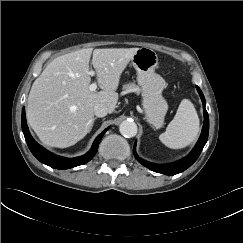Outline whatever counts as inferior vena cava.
Instances as JSON below:
<instances>
[{
    "instance_id": "1",
    "label": "inferior vena cava",
    "mask_w": 243,
    "mask_h": 243,
    "mask_svg": "<svg viewBox=\"0 0 243 243\" xmlns=\"http://www.w3.org/2000/svg\"><path fill=\"white\" fill-rule=\"evenodd\" d=\"M108 113V108L104 104H97L94 106V114L97 117H104Z\"/></svg>"
}]
</instances>
